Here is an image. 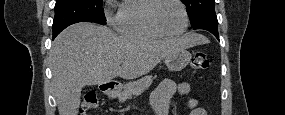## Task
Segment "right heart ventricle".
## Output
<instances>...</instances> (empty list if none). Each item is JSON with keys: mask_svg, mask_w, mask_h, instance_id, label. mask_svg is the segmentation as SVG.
Returning <instances> with one entry per match:
<instances>
[{"mask_svg": "<svg viewBox=\"0 0 285 115\" xmlns=\"http://www.w3.org/2000/svg\"><path fill=\"white\" fill-rule=\"evenodd\" d=\"M154 0H129L121 4L115 25L125 36L159 39L164 36L152 28L148 21V12Z\"/></svg>", "mask_w": 285, "mask_h": 115, "instance_id": "right-heart-ventricle-1", "label": "right heart ventricle"}]
</instances>
